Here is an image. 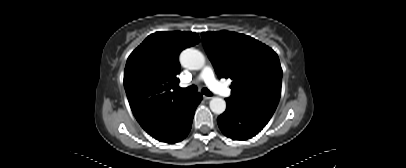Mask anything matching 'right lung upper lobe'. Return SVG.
Listing matches in <instances>:
<instances>
[{
    "label": "right lung upper lobe",
    "mask_w": 406,
    "mask_h": 168,
    "mask_svg": "<svg viewBox=\"0 0 406 168\" xmlns=\"http://www.w3.org/2000/svg\"><path fill=\"white\" fill-rule=\"evenodd\" d=\"M198 42L193 32H156L130 54L124 87L133 114L147 133L154 132L189 97L177 92L178 56Z\"/></svg>",
    "instance_id": "obj_1"
}]
</instances>
